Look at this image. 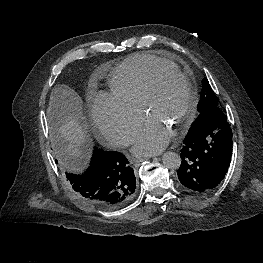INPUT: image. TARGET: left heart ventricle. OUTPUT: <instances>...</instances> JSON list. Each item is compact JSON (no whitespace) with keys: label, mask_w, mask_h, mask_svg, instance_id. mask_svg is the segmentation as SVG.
Instances as JSON below:
<instances>
[{"label":"left heart ventricle","mask_w":263,"mask_h":263,"mask_svg":"<svg viewBox=\"0 0 263 263\" xmlns=\"http://www.w3.org/2000/svg\"><path fill=\"white\" fill-rule=\"evenodd\" d=\"M188 102L187 87L178 77L165 75L159 80L148 110V118L162 124L170 133L184 113Z\"/></svg>","instance_id":"b2bd125f"}]
</instances>
